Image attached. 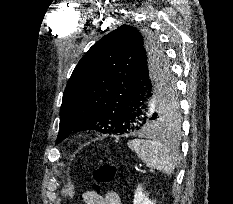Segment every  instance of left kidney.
<instances>
[{
	"label": "left kidney",
	"instance_id": "left-kidney-1",
	"mask_svg": "<svg viewBox=\"0 0 233 204\" xmlns=\"http://www.w3.org/2000/svg\"><path fill=\"white\" fill-rule=\"evenodd\" d=\"M133 204H155L154 201H151L144 193L143 188L139 185L134 194Z\"/></svg>",
	"mask_w": 233,
	"mask_h": 204
}]
</instances>
